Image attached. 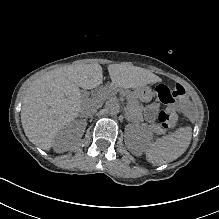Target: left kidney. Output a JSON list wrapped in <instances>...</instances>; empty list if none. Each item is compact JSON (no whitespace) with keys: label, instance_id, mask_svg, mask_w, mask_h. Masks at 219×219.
<instances>
[{"label":"left kidney","instance_id":"obj_1","mask_svg":"<svg viewBox=\"0 0 219 219\" xmlns=\"http://www.w3.org/2000/svg\"><path fill=\"white\" fill-rule=\"evenodd\" d=\"M137 141H140V145H144L146 142L149 141V136L144 134L143 132L136 133Z\"/></svg>","mask_w":219,"mask_h":219}]
</instances>
